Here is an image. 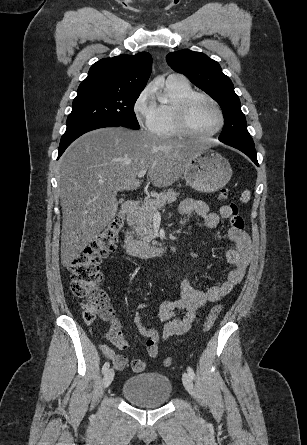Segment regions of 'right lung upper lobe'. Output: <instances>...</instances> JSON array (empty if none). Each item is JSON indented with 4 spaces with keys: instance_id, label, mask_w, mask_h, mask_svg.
Returning a JSON list of instances; mask_svg holds the SVG:
<instances>
[{
    "instance_id": "1",
    "label": "right lung upper lobe",
    "mask_w": 307,
    "mask_h": 445,
    "mask_svg": "<svg viewBox=\"0 0 307 445\" xmlns=\"http://www.w3.org/2000/svg\"><path fill=\"white\" fill-rule=\"evenodd\" d=\"M152 57L147 52L121 54L94 63L78 87V95H140L150 76Z\"/></svg>"
}]
</instances>
